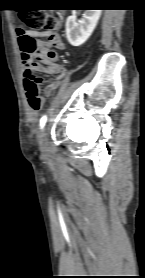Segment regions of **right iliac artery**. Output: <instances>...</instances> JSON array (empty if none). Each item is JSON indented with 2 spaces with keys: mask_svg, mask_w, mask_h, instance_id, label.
I'll return each mask as SVG.
<instances>
[{
  "mask_svg": "<svg viewBox=\"0 0 145 278\" xmlns=\"http://www.w3.org/2000/svg\"><path fill=\"white\" fill-rule=\"evenodd\" d=\"M46 120H47V117H46V116H43V117L41 118V120H40V126H41V128L44 127V125H45V123H46Z\"/></svg>",
  "mask_w": 145,
  "mask_h": 278,
  "instance_id": "1",
  "label": "right iliac artery"
}]
</instances>
